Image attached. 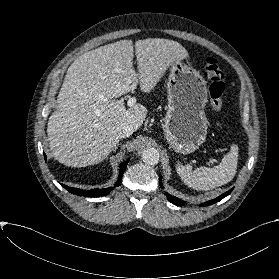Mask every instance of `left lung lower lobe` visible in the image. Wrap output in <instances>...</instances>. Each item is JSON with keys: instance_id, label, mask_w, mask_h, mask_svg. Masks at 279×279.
Listing matches in <instances>:
<instances>
[{"instance_id": "obj_1", "label": "left lung lower lobe", "mask_w": 279, "mask_h": 279, "mask_svg": "<svg viewBox=\"0 0 279 279\" xmlns=\"http://www.w3.org/2000/svg\"><path fill=\"white\" fill-rule=\"evenodd\" d=\"M159 184H160V186L163 188L161 176H160V178H159ZM232 190H233V188L230 189L229 191L225 192V193L222 194L221 196H219V197H217V198H215V199H213V200H210V201H207V202L203 203L201 206L211 205V204H214V203L220 201L221 199H223V198H225L226 196H228V195L232 192ZM166 196H167V199H168L171 203H173V204H175V205H177V206H184V205H185V202L182 201V200H180V199L177 198V197H173V196H171V195H169V194H166Z\"/></svg>"}]
</instances>
